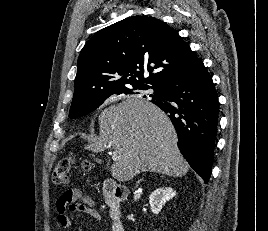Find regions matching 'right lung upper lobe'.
<instances>
[{
    "instance_id": "cb5924a9",
    "label": "right lung upper lobe",
    "mask_w": 268,
    "mask_h": 231,
    "mask_svg": "<svg viewBox=\"0 0 268 231\" xmlns=\"http://www.w3.org/2000/svg\"><path fill=\"white\" fill-rule=\"evenodd\" d=\"M202 61L160 19L133 16L96 32L77 62L72 102L91 104L116 91L195 72ZM144 71L150 72L147 78Z\"/></svg>"
}]
</instances>
